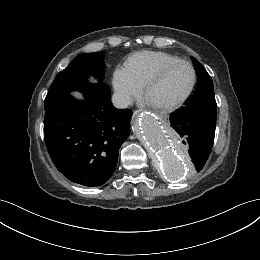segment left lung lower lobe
Masks as SVG:
<instances>
[{"instance_id": "1", "label": "left lung lower lobe", "mask_w": 260, "mask_h": 260, "mask_svg": "<svg viewBox=\"0 0 260 260\" xmlns=\"http://www.w3.org/2000/svg\"><path fill=\"white\" fill-rule=\"evenodd\" d=\"M217 117V105L205 103L183 108L172 114L169 125L188 150L193 169L200 172L212 150Z\"/></svg>"}]
</instances>
